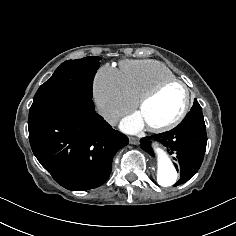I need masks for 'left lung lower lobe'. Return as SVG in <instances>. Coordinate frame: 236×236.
<instances>
[{
	"mask_svg": "<svg viewBox=\"0 0 236 236\" xmlns=\"http://www.w3.org/2000/svg\"><path fill=\"white\" fill-rule=\"evenodd\" d=\"M151 140L163 144L178 163L174 165L180 171V180L174 187L187 182L199 170L206 151L207 134L202 108L190 111L174 129L142 138L141 148L154 156Z\"/></svg>",
	"mask_w": 236,
	"mask_h": 236,
	"instance_id": "left-lung-lower-lobe-1",
	"label": "left lung lower lobe"
}]
</instances>
